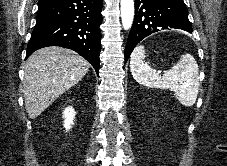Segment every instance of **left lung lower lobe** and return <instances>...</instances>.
I'll list each match as a JSON object with an SVG mask.
<instances>
[{"label": "left lung lower lobe", "instance_id": "1", "mask_svg": "<svg viewBox=\"0 0 227 166\" xmlns=\"http://www.w3.org/2000/svg\"><path fill=\"white\" fill-rule=\"evenodd\" d=\"M172 28L192 33L183 0H135V19L125 47V61L142 39Z\"/></svg>", "mask_w": 227, "mask_h": 166}]
</instances>
